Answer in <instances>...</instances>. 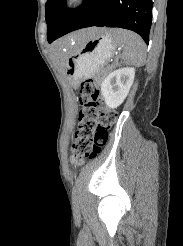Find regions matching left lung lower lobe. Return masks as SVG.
Segmentation results:
<instances>
[{"label": "left lung lower lobe", "instance_id": "left-lung-lower-lobe-1", "mask_svg": "<svg viewBox=\"0 0 183 246\" xmlns=\"http://www.w3.org/2000/svg\"><path fill=\"white\" fill-rule=\"evenodd\" d=\"M152 6L153 0H85L55 39L86 27H119L138 33L148 44Z\"/></svg>", "mask_w": 183, "mask_h": 246}]
</instances>
